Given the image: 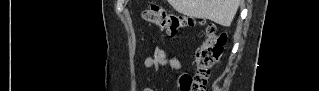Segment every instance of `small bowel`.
<instances>
[{"label": "small bowel", "instance_id": "small-bowel-1", "mask_svg": "<svg viewBox=\"0 0 319 91\" xmlns=\"http://www.w3.org/2000/svg\"><path fill=\"white\" fill-rule=\"evenodd\" d=\"M167 66L173 70H180L182 65L176 53L156 47L154 55L145 60V67L152 69Z\"/></svg>", "mask_w": 319, "mask_h": 91}]
</instances>
